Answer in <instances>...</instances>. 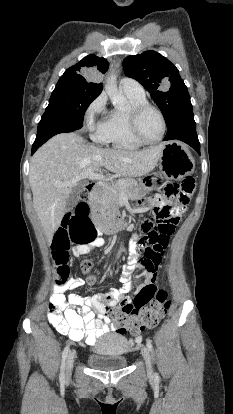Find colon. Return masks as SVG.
I'll return each instance as SVG.
<instances>
[{
  "label": "colon",
  "instance_id": "5ec220e1",
  "mask_svg": "<svg viewBox=\"0 0 233 414\" xmlns=\"http://www.w3.org/2000/svg\"><path fill=\"white\" fill-rule=\"evenodd\" d=\"M195 188L193 177H186L182 183H168L164 193L174 199L177 206L186 205ZM86 192L81 193L83 199ZM173 214L171 207L157 208L153 216L143 222L142 233L135 238L138 245L136 260L139 266L147 271L157 270L161 259L162 249L166 247L168 238L173 233ZM95 239V230L89 217V208L86 203H80L75 210L66 215L63 226L56 232L52 243V254L58 274L57 284L66 282L70 275L69 249L71 244L86 247ZM92 263L89 260L81 262V269L89 274ZM87 285H93L95 278L88 275ZM111 297L103 298L101 302L109 306L108 322L115 331L122 334H137L144 328H152L165 315L170 301L165 289H158L149 284L143 287L134 299H124L117 305L111 306L108 301Z\"/></svg>",
  "mask_w": 233,
  "mask_h": 414
}]
</instances>
